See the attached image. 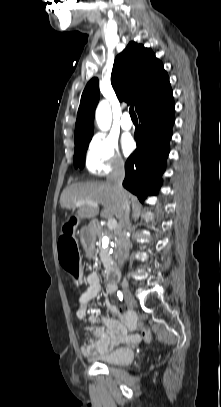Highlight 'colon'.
Listing matches in <instances>:
<instances>
[{
  "label": "colon",
  "instance_id": "5ec220e1",
  "mask_svg": "<svg viewBox=\"0 0 221 407\" xmlns=\"http://www.w3.org/2000/svg\"><path fill=\"white\" fill-rule=\"evenodd\" d=\"M66 223H72V218H66ZM79 233L76 225H65L59 244V259L62 267L71 275L75 283L79 282V256L74 239H78ZM142 337L146 342L151 341V333L148 329L142 330Z\"/></svg>",
  "mask_w": 221,
  "mask_h": 407
}]
</instances>
